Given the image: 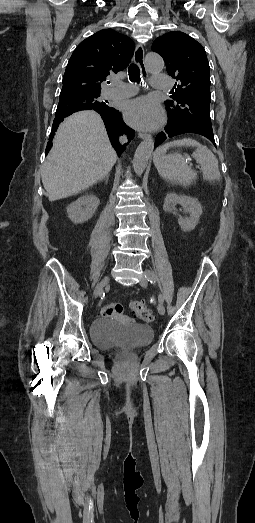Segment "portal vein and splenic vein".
Here are the masks:
<instances>
[{"instance_id": "portal-vein-and-splenic-vein-1", "label": "portal vein and splenic vein", "mask_w": 255, "mask_h": 523, "mask_svg": "<svg viewBox=\"0 0 255 523\" xmlns=\"http://www.w3.org/2000/svg\"><path fill=\"white\" fill-rule=\"evenodd\" d=\"M188 165H189L190 167H193V166L195 165V162H194L193 160H190V161L188 162Z\"/></svg>"}]
</instances>
